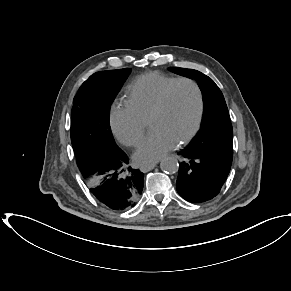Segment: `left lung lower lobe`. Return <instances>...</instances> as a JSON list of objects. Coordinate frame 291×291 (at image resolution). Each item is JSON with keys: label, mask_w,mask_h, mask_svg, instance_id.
<instances>
[{"label": "left lung lower lobe", "mask_w": 291, "mask_h": 291, "mask_svg": "<svg viewBox=\"0 0 291 291\" xmlns=\"http://www.w3.org/2000/svg\"><path fill=\"white\" fill-rule=\"evenodd\" d=\"M176 189L188 202L202 203L216 197L229 174L233 157L211 150L185 148L180 152Z\"/></svg>", "instance_id": "obj_1"}]
</instances>
